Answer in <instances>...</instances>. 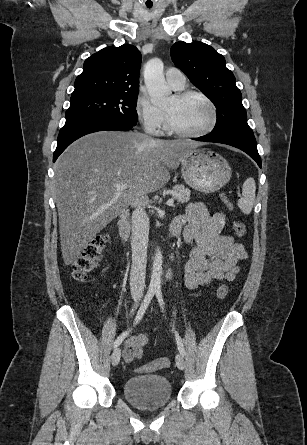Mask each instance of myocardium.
I'll return each instance as SVG.
<instances>
[{
	"instance_id": "myocardium-1",
	"label": "myocardium",
	"mask_w": 307,
	"mask_h": 445,
	"mask_svg": "<svg viewBox=\"0 0 307 445\" xmlns=\"http://www.w3.org/2000/svg\"><path fill=\"white\" fill-rule=\"evenodd\" d=\"M178 99L186 100L189 98H198L207 104L211 110L212 118L210 124L198 131V132H185L173 126L169 117L164 113L166 129L169 133L176 135L177 137H171L166 139H202L208 134L212 133L218 126L220 121V112L215 102L205 94L195 90H182L175 94Z\"/></svg>"
}]
</instances>
